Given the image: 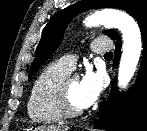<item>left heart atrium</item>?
<instances>
[{
  "label": "left heart atrium",
  "instance_id": "left-heart-atrium-1",
  "mask_svg": "<svg viewBox=\"0 0 147 131\" xmlns=\"http://www.w3.org/2000/svg\"><path fill=\"white\" fill-rule=\"evenodd\" d=\"M105 86V77L101 72L87 70L79 80V102L82 108L93 105Z\"/></svg>",
  "mask_w": 147,
  "mask_h": 131
}]
</instances>
